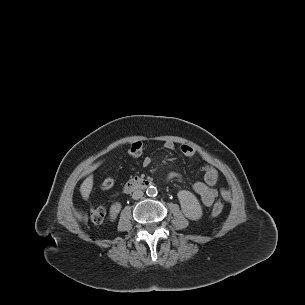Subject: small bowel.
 <instances>
[{"mask_svg": "<svg viewBox=\"0 0 305 305\" xmlns=\"http://www.w3.org/2000/svg\"><path fill=\"white\" fill-rule=\"evenodd\" d=\"M164 147L167 150L173 151L175 149V143L173 141H166L164 143ZM180 151L187 159H193L197 155V150L188 144H182L180 146ZM142 162L144 166H148L151 164V158L148 156L144 157ZM204 171V180L195 182L193 184V190L196 194L200 196L203 205L207 207L211 206L219 193H221L223 197L228 199L229 191L223 187H216L218 171L214 164L210 161H207ZM167 178L181 179V175L177 172H170Z\"/></svg>", "mask_w": 305, "mask_h": 305, "instance_id": "1", "label": "small bowel"}]
</instances>
